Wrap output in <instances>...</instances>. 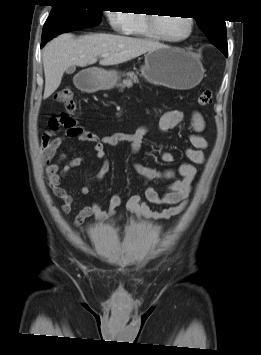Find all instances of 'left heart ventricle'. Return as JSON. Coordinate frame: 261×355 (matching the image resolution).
Instances as JSON below:
<instances>
[{"label": "left heart ventricle", "instance_id": "left-heart-ventricle-1", "mask_svg": "<svg viewBox=\"0 0 261 355\" xmlns=\"http://www.w3.org/2000/svg\"><path fill=\"white\" fill-rule=\"evenodd\" d=\"M158 27L164 36L180 38L188 33L189 24L185 17H167L158 19Z\"/></svg>", "mask_w": 261, "mask_h": 355}]
</instances>
